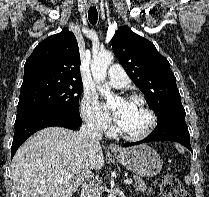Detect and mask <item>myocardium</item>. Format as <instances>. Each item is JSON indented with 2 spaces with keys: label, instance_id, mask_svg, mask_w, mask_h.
Listing matches in <instances>:
<instances>
[{
  "label": "myocardium",
  "instance_id": "obj_1",
  "mask_svg": "<svg viewBox=\"0 0 209 197\" xmlns=\"http://www.w3.org/2000/svg\"><path fill=\"white\" fill-rule=\"evenodd\" d=\"M130 101L138 102L140 103L145 110L147 111L149 115V123L147 127L140 133L137 134H129L122 130L119 125H117L116 131L118 135H120L122 138L129 140V141H140L145 138H147L154 130L157 124V116L155 111L150 107L146 99L140 95H132L129 97Z\"/></svg>",
  "mask_w": 209,
  "mask_h": 197
}]
</instances>
